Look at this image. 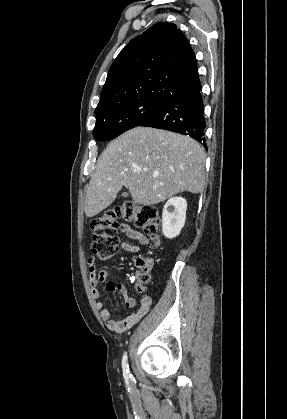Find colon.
<instances>
[{"instance_id": "obj_1", "label": "colon", "mask_w": 287, "mask_h": 419, "mask_svg": "<svg viewBox=\"0 0 287 419\" xmlns=\"http://www.w3.org/2000/svg\"><path fill=\"white\" fill-rule=\"evenodd\" d=\"M124 219L143 230L150 237V246L158 244L160 215L153 206L141 205L130 200L123 201L104 211L91 222L93 240L92 253L101 260L111 258L118 249V220ZM136 266L143 272L138 276L137 290L142 291L148 283L150 260L141 256L135 259Z\"/></svg>"}]
</instances>
